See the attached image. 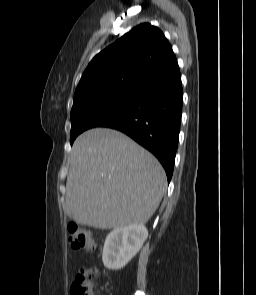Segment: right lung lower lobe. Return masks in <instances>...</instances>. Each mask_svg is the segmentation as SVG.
<instances>
[{
    "instance_id": "right-lung-lower-lobe-1",
    "label": "right lung lower lobe",
    "mask_w": 256,
    "mask_h": 295,
    "mask_svg": "<svg viewBox=\"0 0 256 295\" xmlns=\"http://www.w3.org/2000/svg\"><path fill=\"white\" fill-rule=\"evenodd\" d=\"M182 100L181 75L175 58L136 91L131 106L98 127L124 132L152 152L164 167L169 182L178 147Z\"/></svg>"
}]
</instances>
